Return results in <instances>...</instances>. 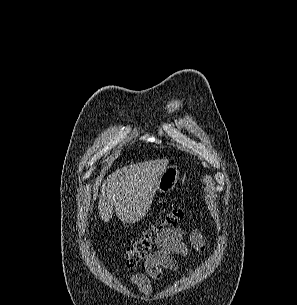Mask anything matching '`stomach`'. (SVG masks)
I'll return each instance as SVG.
<instances>
[{
    "instance_id": "obj_1",
    "label": "stomach",
    "mask_w": 297,
    "mask_h": 305,
    "mask_svg": "<svg viewBox=\"0 0 297 305\" xmlns=\"http://www.w3.org/2000/svg\"><path fill=\"white\" fill-rule=\"evenodd\" d=\"M179 179V170L176 166H167L163 174L160 176L157 184L159 193H168L172 191Z\"/></svg>"
}]
</instances>
